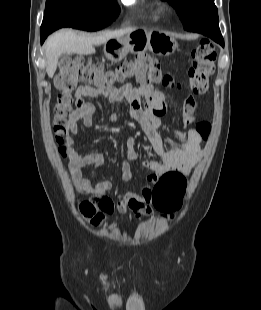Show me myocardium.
Listing matches in <instances>:
<instances>
[{
    "label": "myocardium",
    "instance_id": "obj_1",
    "mask_svg": "<svg viewBox=\"0 0 261 310\" xmlns=\"http://www.w3.org/2000/svg\"><path fill=\"white\" fill-rule=\"evenodd\" d=\"M163 9L169 10V9H170V6H169L168 4H164V5H163Z\"/></svg>",
    "mask_w": 261,
    "mask_h": 310
}]
</instances>
